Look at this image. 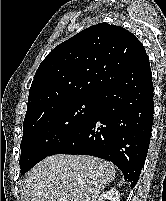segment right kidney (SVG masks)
<instances>
[{
    "label": "right kidney",
    "mask_w": 166,
    "mask_h": 201,
    "mask_svg": "<svg viewBox=\"0 0 166 201\" xmlns=\"http://www.w3.org/2000/svg\"><path fill=\"white\" fill-rule=\"evenodd\" d=\"M96 201H120V195L117 189L111 188L103 192Z\"/></svg>",
    "instance_id": "1"
}]
</instances>
